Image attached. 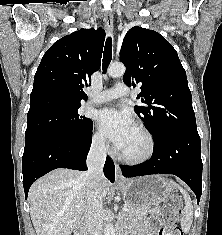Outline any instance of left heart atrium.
<instances>
[{
    "label": "left heart atrium",
    "mask_w": 222,
    "mask_h": 235,
    "mask_svg": "<svg viewBox=\"0 0 222 235\" xmlns=\"http://www.w3.org/2000/svg\"><path fill=\"white\" fill-rule=\"evenodd\" d=\"M97 120L103 134L111 140L118 150L124 147L135 127L129 113L114 109L101 110Z\"/></svg>",
    "instance_id": "1"
}]
</instances>
